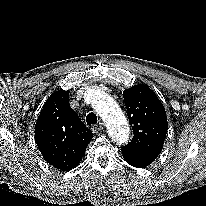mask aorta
Returning <instances> with one entry per match:
<instances>
[{
	"instance_id": "obj_1",
	"label": "aorta",
	"mask_w": 206,
	"mask_h": 206,
	"mask_svg": "<svg viewBox=\"0 0 206 206\" xmlns=\"http://www.w3.org/2000/svg\"><path fill=\"white\" fill-rule=\"evenodd\" d=\"M92 106L105 120L112 139L118 144L126 143L129 139L130 128L116 101L105 92L95 91Z\"/></svg>"
}]
</instances>
